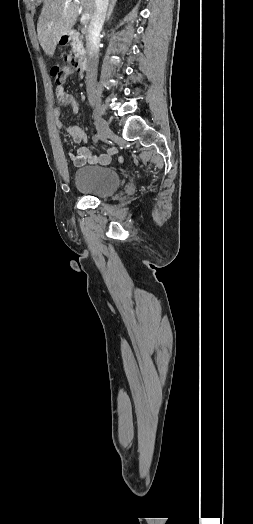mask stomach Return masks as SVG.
Here are the masks:
<instances>
[{"instance_id":"obj_1","label":"stomach","mask_w":253,"mask_h":524,"mask_svg":"<svg viewBox=\"0 0 253 524\" xmlns=\"http://www.w3.org/2000/svg\"><path fill=\"white\" fill-rule=\"evenodd\" d=\"M64 36H67V37H64ZM63 38H64V39H63ZM68 41H69V40H68V35L65 34V35H62V36L60 37V39H59V41H58V44H59L60 42H62V45H66Z\"/></svg>"}]
</instances>
